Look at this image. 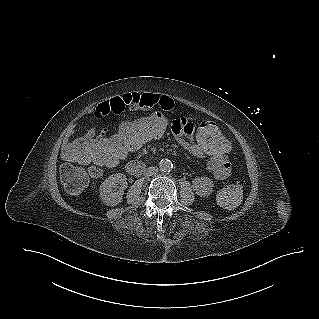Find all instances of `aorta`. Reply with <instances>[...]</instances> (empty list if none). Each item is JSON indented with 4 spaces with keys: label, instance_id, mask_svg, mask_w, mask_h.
Wrapping results in <instances>:
<instances>
[{
    "label": "aorta",
    "instance_id": "aorta-1",
    "mask_svg": "<svg viewBox=\"0 0 319 319\" xmlns=\"http://www.w3.org/2000/svg\"><path fill=\"white\" fill-rule=\"evenodd\" d=\"M159 168L162 172H170L173 168V164L169 159H162L159 162Z\"/></svg>",
    "mask_w": 319,
    "mask_h": 319
}]
</instances>
